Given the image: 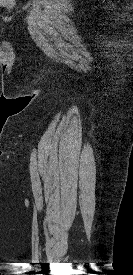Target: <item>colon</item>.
I'll list each match as a JSON object with an SVG mask.
<instances>
[{"mask_svg": "<svg viewBox=\"0 0 133 275\" xmlns=\"http://www.w3.org/2000/svg\"><path fill=\"white\" fill-rule=\"evenodd\" d=\"M4 5L6 7H12L14 5V0H5Z\"/></svg>", "mask_w": 133, "mask_h": 275, "instance_id": "colon-1", "label": "colon"}]
</instances>
